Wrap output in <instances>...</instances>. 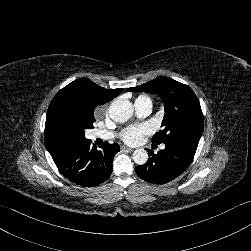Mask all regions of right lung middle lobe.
I'll return each mask as SVG.
<instances>
[{
    "label": "right lung middle lobe",
    "instance_id": "right-lung-middle-lobe-1",
    "mask_svg": "<svg viewBox=\"0 0 251 251\" xmlns=\"http://www.w3.org/2000/svg\"><path fill=\"white\" fill-rule=\"evenodd\" d=\"M94 116L84 115L51 101L45 123L44 135L67 141L85 140V129L93 128Z\"/></svg>",
    "mask_w": 251,
    "mask_h": 251
}]
</instances>
